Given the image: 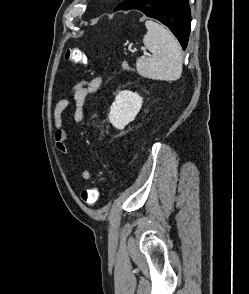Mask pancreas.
<instances>
[{
    "instance_id": "cf45deb5",
    "label": "pancreas",
    "mask_w": 249,
    "mask_h": 294,
    "mask_svg": "<svg viewBox=\"0 0 249 294\" xmlns=\"http://www.w3.org/2000/svg\"><path fill=\"white\" fill-rule=\"evenodd\" d=\"M122 68H123L124 70H130L129 65H128L127 62H125V61L122 63Z\"/></svg>"
}]
</instances>
